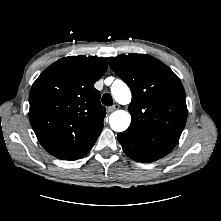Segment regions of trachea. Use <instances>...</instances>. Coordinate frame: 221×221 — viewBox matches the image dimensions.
<instances>
[{"mask_svg":"<svg viewBox=\"0 0 221 221\" xmlns=\"http://www.w3.org/2000/svg\"><path fill=\"white\" fill-rule=\"evenodd\" d=\"M102 103L105 106H111L113 104L112 96L109 93H106L102 96Z\"/></svg>","mask_w":221,"mask_h":221,"instance_id":"3493384b","label":"trachea"}]
</instances>
